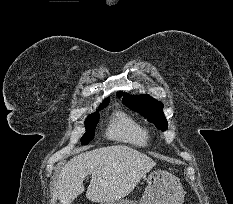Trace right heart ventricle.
<instances>
[{"mask_svg": "<svg viewBox=\"0 0 233 204\" xmlns=\"http://www.w3.org/2000/svg\"><path fill=\"white\" fill-rule=\"evenodd\" d=\"M106 135L109 139L137 148L148 146L150 134L145 126L123 111L113 113Z\"/></svg>", "mask_w": 233, "mask_h": 204, "instance_id": "right-heart-ventricle-1", "label": "right heart ventricle"}]
</instances>
